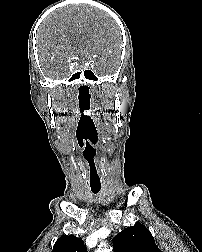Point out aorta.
<instances>
[{"instance_id":"762f6f07","label":"aorta","mask_w":202,"mask_h":252,"mask_svg":"<svg viewBox=\"0 0 202 252\" xmlns=\"http://www.w3.org/2000/svg\"><path fill=\"white\" fill-rule=\"evenodd\" d=\"M95 252H110V250L107 249L106 245L101 244Z\"/></svg>"}]
</instances>
